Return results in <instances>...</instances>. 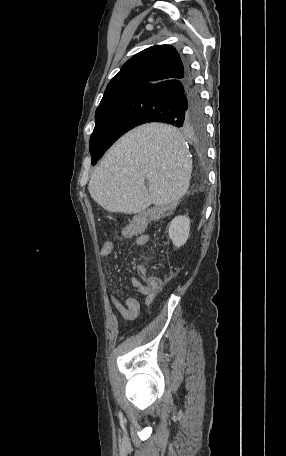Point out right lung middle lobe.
Segmentation results:
<instances>
[{
    "instance_id": "dd1d6c3e",
    "label": "right lung middle lobe",
    "mask_w": 286,
    "mask_h": 456,
    "mask_svg": "<svg viewBox=\"0 0 286 456\" xmlns=\"http://www.w3.org/2000/svg\"><path fill=\"white\" fill-rule=\"evenodd\" d=\"M138 111L131 96L113 100L97 108L96 125L89 144L93 165L120 136L139 125ZM193 132L203 135L204 122Z\"/></svg>"
}]
</instances>
